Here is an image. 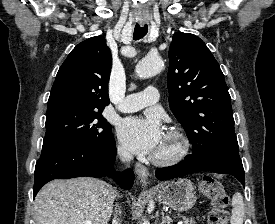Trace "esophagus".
I'll return each instance as SVG.
<instances>
[{
    "label": "esophagus",
    "instance_id": "obj_1",
    "mask_svg": "<svg viewBox=\"0 0 275 224\" xmlns=\"http://www.w3.org/2000/svg\"><path fill=\"white\" fill-rule=\"evenodd\" d=\"M135 172L137 175V178L140 180V182L144 185L146 183V179L149 176V171L143 164L137 162L135 164Z\"/></svg>",
    "mask_w": 275,
    "mask_h": 224
}]
</instances>
